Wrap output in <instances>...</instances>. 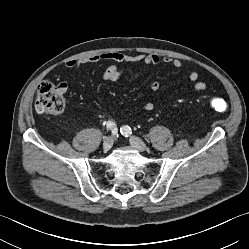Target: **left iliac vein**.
<instances>
[{
    "label": "left iliac vein",
    "mask_w": 249,
    "mask_h": 249,
    "mask_svg": "<svg viewBox=\"0 0 249 249\" xmlns=\"http://www.w3.org/2000/svg\"><path fill=\"white\" fill-rule=\"evenodd\" d=\"M129 141L131 146L134 147L136 150L140 152H144L147 150L146 144L138 137L131 136Z\"/></svg>",
    "instance_id": "obj_1"
}]
</instances>
